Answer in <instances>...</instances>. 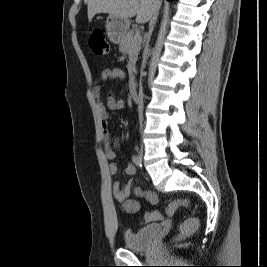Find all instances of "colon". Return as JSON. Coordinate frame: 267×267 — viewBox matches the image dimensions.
I'll list each match as a JSON object with an SVG mask.
<instances>
[{
    "label": "colon",
    "mask_w": 267,
    "mask_h": 267,
    "mask_svg": "<svg viewBox=\"0 0 267 267\" xmlns=\"http://www.w3.org/2000/svg\"><path fill=\"white\" fill-rule=\"evenodd\" d=\"M89 45L94 54L99 56H104L109 53V44L105 39L104 35L100 31L93 32L89 39ZM189 201L187 199H176L168 204L165 215L171 216L178 207L180 206H188ZM164 217V215L158 211L149 212L145 215V220L147 222L160 220ZM198 227V220L196 218H188L184 220L180 227L177 235V239L188 238L194 234Z\"/></svg>",
    "instance_id": "obj_1"
}]
</instances>
